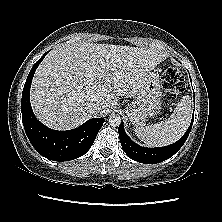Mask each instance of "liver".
<instances>
[{
    "label": "liver",
    "instance_id": "6515ba94",
    "mask_svg": "<svg viewBox=\"0 0 222 222\" xmlns=\"http://www.w3.org/2000/svg\"><path fill=\"white\" fill-rule=\"evenodd\" d=\"M167 57L155 49L80 43L47 54L31 85L36 117L55 130H69L105 114L122 96H134L147 74ZM101 104L93 113L88 103Z\"/></svg>",
    "mask_w": 222,
    "mask_h": 222
}]
</instances>
